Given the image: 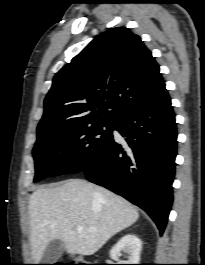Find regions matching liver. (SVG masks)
Masks as SVG:
<instances>
[{
	"instance_id": "liver-1",
	"label": "liver",
	"mask_w": 205,
	"mask_h": 265,
	"mask_svg": "<svg viewBox=\"0 0 205 265\" xmlns=\"http://www.w3.org/2000/svg\"><path fill=\"white\" fill-rule=\"evenodd\" d=\"M138 218L127 200L85 180L38 188L29 200L32 258L40 262L54 239L64 243L67 253L92 255ZM78 226L83 232L77 231Z\"/></svg>"
}]
</instances>
